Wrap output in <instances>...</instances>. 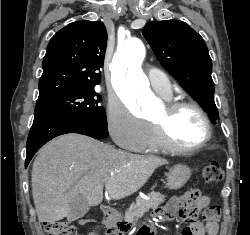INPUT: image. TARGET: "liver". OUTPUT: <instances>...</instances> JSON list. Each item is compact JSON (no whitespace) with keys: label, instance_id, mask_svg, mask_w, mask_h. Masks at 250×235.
Returning a JSON list of instances; mask_svg holds the SVG:
<instances>
[{"label":"liver","instance_id":"6515ba94","mask_svg":"<svg viewBox=\"0 0 250 235\" xmlns=\"http://www.w3.org/2000/svg\"><path fill=\"white\" fill-rule=\"evenodd\" d=\"M167 160L131 154L77 133L59 136L36 157L31 174L32 195L39 222L67 217L76 196L89 207L103 200V188L119 200L137 192Z\"/></svg>","mask_w":250,"mask_h":235}]
</instances>
